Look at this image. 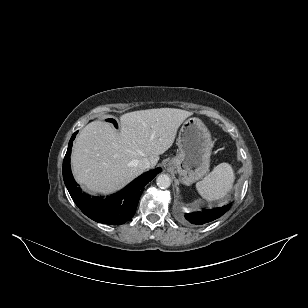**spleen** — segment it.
I'll return each mask as SVG.
<instances>
[{
  "label": "spleen",
  "mask_w": 308,
  "mask_h": 308,
  "mask_svg": "<svg viewBox=\"0 0 308 308\" xmlns=\"http://www.w3.org/2000/svg\"><path fill=\"white\" fill-rule=\"evenodd\" d=\"M235 174L228 163L217 165L202 181L197 182L198 193L207 201L224 198L232 189Z\"/></svg>",
  "instance_id": "3e777b00"
}]
</instances>
